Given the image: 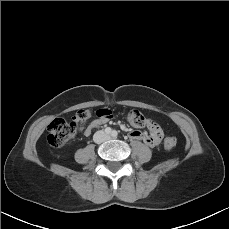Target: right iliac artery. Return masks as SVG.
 <instances>
[{"instance_id": "82829eb1", "label": "right iliac artery", "mask_w": 229, "mask_h": 229, "mask_svg": "<svg viewBox=\"0 0 229 229\" xmlns=\"http://www.w3.org/2000/svg\"><path fill=\"white\" fill-rule=\"evenodd\" d=\"M105 132H106L107 134H111V133H112V130H111L110 127H107V128L105 129Z\"/></svg>"}]
</instances>
